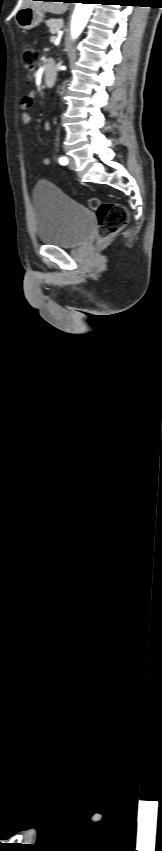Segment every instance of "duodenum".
<instances>
[{
  "label": "duodenum",
  "instance_id": "1",
  "mask_svg": "<svg viewBox=\"0 0 162 851\" xmlns=\"http://www.w3.org/2000/svg\"><path fill=\"white\" fill-rule=\"evenodd\" d=\"M56 77V70L52 61H47L44 66L43 82L46 87L53 85Z\"/></svg>",
  "mask_w": 162,
  "mask_h": 851
}]
</instances>
